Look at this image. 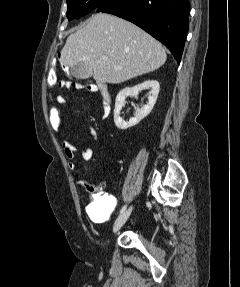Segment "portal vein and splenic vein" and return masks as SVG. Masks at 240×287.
Wrapping results in <instances>:
<instances>
[{"label":"portal vein and splenic vein","mask_w":240,"mask_h":287,"mask_svg":"<svg viewBox=\"0 0 240 287\" xmlns=\"http://www.w3.org/2000/svg\"><path fill=\"white\" fill-rule=\"evenodd\" d=\"M102 59H103V60H107L108 57H107L106 55H103V56H102Z\"/></svg>","instance_id":"obj_1"}]
</instances>
